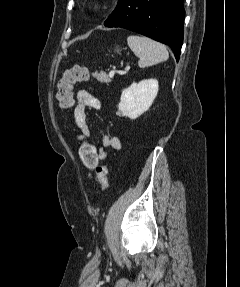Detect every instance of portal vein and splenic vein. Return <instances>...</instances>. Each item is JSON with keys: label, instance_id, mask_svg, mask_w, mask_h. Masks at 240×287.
<instances>
[{"label": "portal vein and splenic vein", "instance_id": "1", "mask_svg": "<svg viewBox=\"0 0 240 287\" xmlns=\"http://www.w3.org/2000/svg\"><path fill=\"white\" fill-rule=\"evenodd\" d=\"M125 69H126V70H129V69H130V66L127 65ZM115 73H116V70H111V71L109 72V76H110V77H113Z\"/></svg>", "mask_w": 240, "mask_h": 287}]
</instances>
